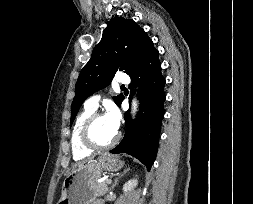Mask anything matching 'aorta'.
<instances>
[{
  "instance_id": "aorta-1",
  "label": "aorta",
  "mask_w": 253,
  "mask_h": 204,
  "mask_svg": "<svg viewBox=\"0 0 253 204\" xmlns=\"http://www.w3.org/2000/svg\"><path fill=\"white\" fill-rule=\"evenodd\" d=\"M132 106H133V113H135L136 108H137V103H136V101H135V100L133 101Z\"/></svg>"
}]
</instances>
